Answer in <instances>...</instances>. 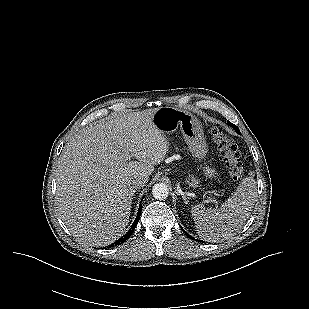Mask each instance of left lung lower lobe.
I'll list each match as a JSON object with an SVG mask.
<instances>
[{
  "mask_svg": "<svg viewBox=\"0 0 309 309\" xmlns=\"http://www.w3.org/2000/svg\"><path fill=\"white\" fill-rule=\"evenodd\" d=\"M184 231V230H183ZM184 233H186L185 231H184ZM187 234V233H186ZM187 236L189 237V238H191V239H193L189 234H187ZM193 240H195V239H193ZM197 241V240H196Z\"/></svg>",
  "mask_w": 309,
  "mask_h": 309,
  "instance_id": "left-lung-lower-lobe-1",
  "label": "left lung lower lobe"
}]
</instances>
